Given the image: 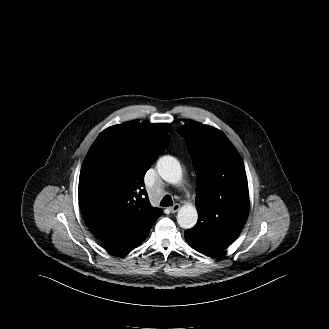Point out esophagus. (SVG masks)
I'll return each instance as SVG.
<instances>
[{"label":"esophagus","instance_id":"1","mask_svg":"<svg viewBox=\"0 0 329 329\" xmlns=\"http://www.w3.org/2000/svg\"><path fill=\"white\" fill-rule=\"evenodd\" d=\"M180 209V205L179 204H174L172 207L169 208L171 213H176L178 212V210Z\"/></svg>","mask_w":329,"mask_h":329}]
</instances>
